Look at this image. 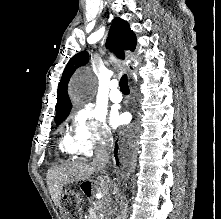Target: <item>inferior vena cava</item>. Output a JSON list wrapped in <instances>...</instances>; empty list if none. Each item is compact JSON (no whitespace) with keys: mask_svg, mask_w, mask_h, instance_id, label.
Here are the masks:
<instances>
[{"mask_svg":"<svg viewBox=\"0 0 221 219\" xmlns=\"http://www.w3.org/2000/svg\"><path fill=\"white\" fill-rule=\"evenodd\" d=\"M113 142L110 139L101 140L95 150V157L92 164L95 166L97 172L100 174H106L105 168L109 160L110 153L112 151Z\"/></svg>","mask_w":221,"mask_h":219,"instance_id":"obj_1","label":"inferior vena cava"}]
</instances>
